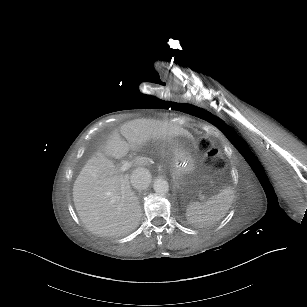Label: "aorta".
<instances>
[{"label": "aorta", "mask_w": 307, "mask_h": 307, "mask_svg": "<svg viewBox=\"0 0 307 307\" xmlns=\"http://www.w3.org/2000/svg\"><path fill=\"white\" fill-rule=\"evenodd\" d=\"M153 189L158 195H166L169 192V183L163 179H157L154 182Z\"/></svg>", "instance_id": "obj_1"}]
</instances>
